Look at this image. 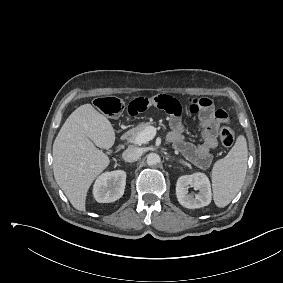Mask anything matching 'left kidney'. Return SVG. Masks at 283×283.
I'll return each mask as SVG.
<instances>
[{"label":"left kidney","mask_w":283,"mask_h":283,"mask_svg":"<svg viewBox=\"0 0 283 283\" xmlns=\"http://www.w3.org/2000/svg\"><path fill=\"white\" fill-rule=\"evenodd\" d=\"M189 186L195 190H199L195 197L188 194ZM176 196L179 203L189 209L209 205L212 199V193L208 177L200 172L179 177L176 183Z\"/></svg>","instance_id":"obj_1"}]
</instances>
